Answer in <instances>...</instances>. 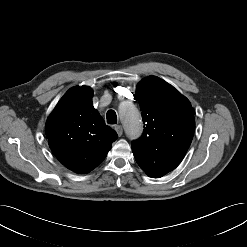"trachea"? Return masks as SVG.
<instances>
[{
	"label": "trachea",
	"instance_id": "obj_1",
	"mask_svg": "<svg viewBox=\"0 0 247 247\" xmlns=\"http://www.w3.org/2000/svg\"><path fill=\"white\" fill-rule=\"evenodd\" d=\"M108 124H116L117 123V115L114 110H109L106 115Z\"/></svg>",
	"mask_w": 247,
	"mask_h": 247
}]
</instances>
